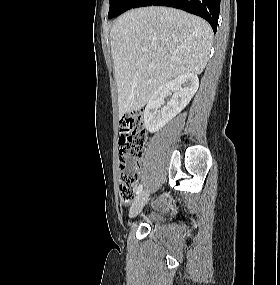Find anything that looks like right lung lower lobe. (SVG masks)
<instances>
[{
    "label": "right lung lower lobe",
    "mask_w": 280,
    "mask_h": 285,
    "mask_svg": "<svg viewBox=\"0 0 280 285\" xmlns=\"http://www.w3.org/2000/svg\"><path fill=\"white\" fill-rule=\"evenodd\" d=\"M151 5L175 7L201 16L210 23L216 33L220 0H137L132 8Z\"/></svg>",
    "instance_id": "1"
}]
</instances>
